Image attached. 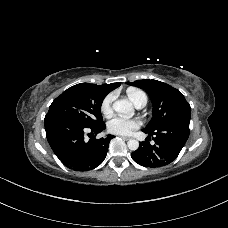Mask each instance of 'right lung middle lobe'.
Here are the masks:
<instances>
[{"label":"right lung middle lobe","mask_w":228,"mask_h":228,"mask_svg":"<svg viewBox=\"0 0 228 228\" xmlns=\"http://www.w3.org/2000/svg\"><path fill=\"white\" fill-rule=\"evenodd\" d=\"M106 95L94 84L74 85L52 102L45 118L65 117L85 126L101 124V104Z\"/></svg>","instance_id":"right-lung-middle-lobe-1"}]
</instances>
